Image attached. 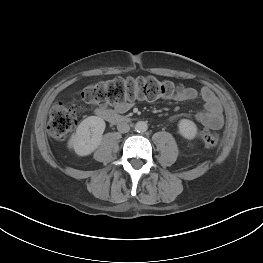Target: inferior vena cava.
<instances>
[{
	"label": "inferior vena cava",
	"mask_w": 263,
	"mask_h": 263,
	"mask_svg": "<svg viewBox=\"0 0 263 263\" xmlns=\"http://www.w3.org/2000/svg\"><path fill=\"white\" fill-rule=\"evenodd\" d=\"M117 129L121 133H127L130 130V126L127 122H120L117 125Z\"/></svg>",
	"instance_id": "1"
}]
</instances>
